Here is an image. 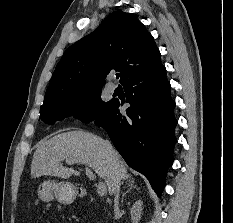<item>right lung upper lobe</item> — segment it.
Returning <instances> with one entry per match:
<instances>
[{
	"label": "right lung upper lobe",
	"mask_w": 233,
	"mask_h": 223,
	"mask_svg": "<svg viewBox=\"0 0 233 223\" xmlns=\"http://www.w3.org/2000/svg\"><path fill=\"white\" fill-rule=\"evenodd\" d=\"M161 63L152 35L132 14L115 11L91 34L71 45L57 64L43 105L101 88L112 70L123 84Z\"/></svg>",
	"instance_id": "right-lung-upper-lobe-1"
}]
</instances>
